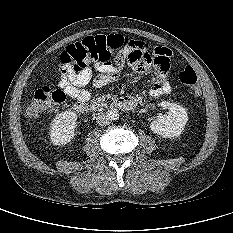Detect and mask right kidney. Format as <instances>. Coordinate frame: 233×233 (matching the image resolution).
I'll return each mask as SVG.
<instances>
[{
	"mask_svg": "<svg viewBox=\"0 0 233 233\" xmlns=\"http://www.w3.org/2000/svg\"><path fill=\"white\" fill-rule=\"evenodd\" d=\"M77 114L72 111L61 112L57 115L50 130V141L54 145H64L70 142L75 135Z\"/></svg>",
	"mask_w": 233,
	"mask_h": 233,
	"instance_id": "1",
	"label": "right kidney"
}]
</instances>
